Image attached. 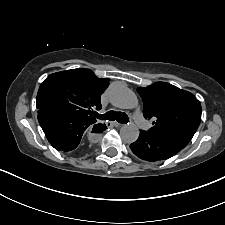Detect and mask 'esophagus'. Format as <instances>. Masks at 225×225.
<instances>
[{
  "instance_id": "1",
  "label": "esophagus",
  "mask_w": 225,
  "mask_h": 225,
  "mask_svg": "<svg viewBox=\"0 0 225 225\" xmlns=\"http://www.w3.org/2000/svg\"><path fill=\"white\" fill-rule=\"evenodd\" d=\"M111 126L120 127L122 124L118 122H110Z\"/></svg>"
}]
</instances>
